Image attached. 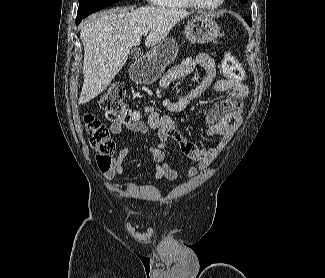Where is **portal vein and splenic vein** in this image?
<instances>
[{
    "label": "portal vein and splenic vein",
    "mask_w": 325,
    "mask_h": 278,
    "mask_svg": "<svg viewBox=\"0 0 325 278\" xmlns=\"http://www.w3.org/2000/svg\"><path fill=\"white\" fill-rule=\"evenodd\" d=\"M150 30V28H146L142 31V34L143 35H147L148 34V31Z\"/></svg>",
    "instance_id": "obj_1"
}]
</instances>
